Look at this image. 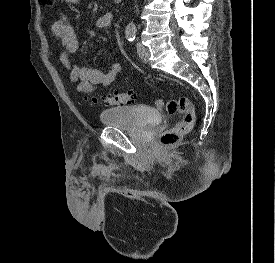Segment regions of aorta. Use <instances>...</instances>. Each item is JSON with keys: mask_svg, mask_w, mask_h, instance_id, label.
Masks as SVG:
<instances>
[{"mask_svg": "<svg viewBox=\"0 0 275 263\" xmlns=\"http://www.w3.org/2000/svg\"><path fill=\"white\" fill-rule=\"evenodd\" d=\"M134 28V25L133 24H129L128 25V29L131 31L132 29Z\"/></svg>", "mask_w": 275, "mask_h": 263, "instance_id": "aorta-1", "label": "aorta"}]
</instances>
